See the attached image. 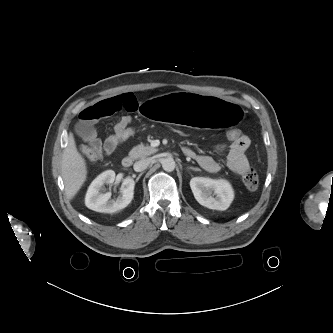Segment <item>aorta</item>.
Returning <instances> with one entry per match:
<instances>
[{"label": "aorta", "mask_w": 333, "mask_h": 333, "mask_svg": "<svg viewBox=\"0 0 333 333\" xmlns=\"http://www.w3.org/2000/svg\"><path fill=\"white\" fill-rule=\"evenodd\" d=\"M176 167L175 161L173 158H165L162 161V168L167 172H172Z\"/></svg>", "instance_id": "762f6f07"}]
</instances>
